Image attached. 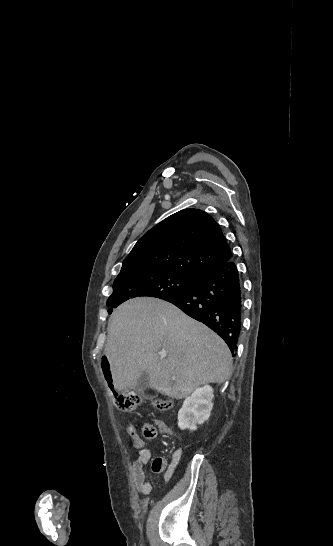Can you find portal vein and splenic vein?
I'll return each instance as SVG.
<instances>
[{"label":"portal vein and splenic vein","mask_w":333,"mask_h":546,"mask_svg":"<svg viewBox=\"0 0 333 546\" xmlns=\"http://www.w3.org/2000/svg\"><path fill=\"white\" fill-rule=\"evenodd\" d=\"M161 356H162V357H166L167 354L164 352V353H161Z\"/></svg>","instance_id":"obj_1"}]
</instances>
